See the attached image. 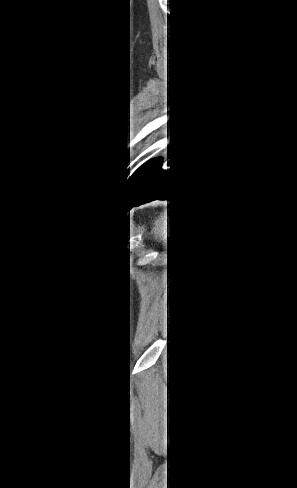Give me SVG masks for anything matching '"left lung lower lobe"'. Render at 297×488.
Wrapping results in <instances>:
<instances>
[{"instance_id": "1", "label": "left lung lower lobe", "mask_w": 297, "mask_h": 488, "mask_svg": "<svg viewBox=\"0 0 297 488\" xmlns=\"http://www.w3.org/2000/svg\"><path fill=\"white\" fill-rule=\"evenodd\" d=\"M161 159L148 162L145 175L130 188L135 203H144L155 199H170L172 195V167L169 170L161 168Z\"/></svg>"}]
</instances>
